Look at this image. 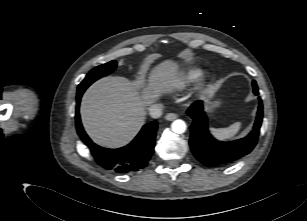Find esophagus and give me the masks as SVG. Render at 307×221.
I'll return each mask as SVG.
<instances>
[{"mask_svg":"<svg viewBox=\"0 0 307 221\" xmlns=\"http://www.w3.org/2000/svg\"><path fill=\"white\" fill-rule=\"evenodd\" d=\"M178 116L177 114L175 113H168L166 116H165V119L168 120V121H172L174 119H176Z\"/></svg>","mask_w":307,"mask_h":221,"instance_id":"obj_1","label":"esophagus"}]
</instances>
